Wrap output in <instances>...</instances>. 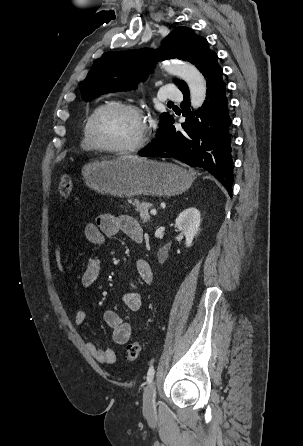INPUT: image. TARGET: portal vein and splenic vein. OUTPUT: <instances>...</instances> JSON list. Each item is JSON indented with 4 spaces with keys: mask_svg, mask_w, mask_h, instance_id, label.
<instances>
[{
    "mask_svg": "<svg viewBox=\"0 0 303 446\" xmlns=\"http://www.w3.org/2000/svg\"><path fill=\"white\" fill-rule=\"evenodd\" d=\"M150 213L155 216L157 214V211L156 209H151Z\"/></svg>",
    "mask_w": 303,
    "mask_h": 446,
    "instance_id": "obj_1",
    "label": "portal vein and splenic vein"
}]
</instances>
